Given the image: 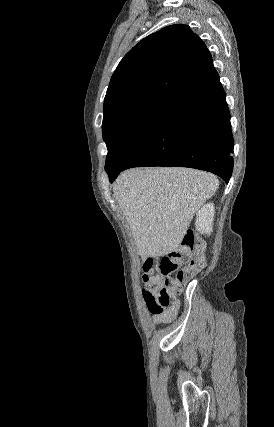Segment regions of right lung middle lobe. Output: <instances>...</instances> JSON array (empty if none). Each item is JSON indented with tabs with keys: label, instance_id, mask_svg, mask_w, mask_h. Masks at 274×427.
Returning a JSON list of instances; mask_svg holds the SVG:
<instances>
[{
	"label": "right lung middle lobe",
	"instance_id": "dd1d6c3e",
	"mask_svg": "<svg viewBox=\"0 0 274 427\" xmlns=\"http://www.w3.org/2000/svg\"><path fill=\"white\" fill-rule=\"evenodd\" d=\"M175 98L149 94L104 112L102 131L108 148L106 165L125 163L151 134Z\"/></svg>",
	"mask_w": 274,
	"mask_h": 427
}]
</instances>
